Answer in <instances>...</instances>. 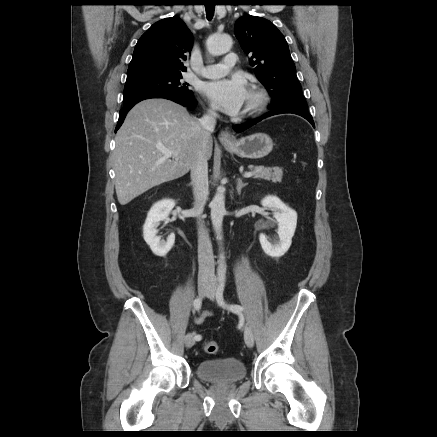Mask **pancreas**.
Wrapping results in <instances>:
<instances>
[{"mask_svg":"<svg viewBox=\"0 0 437 437\" xmlns=\"http://www.w3.org/2000/svg\"><path fill=\"white\" fill-rule=\"evenodd\" d=\"M250 170H253V178L255 179H264L267 181H272L274 183L281 182L283 171L282 168L273 167V168H265L263 166H249Z\"/></svg>","mask_w":437,"mask_h":437,"instance_id":"pancreas-1","label":"pancreas"}]
</instances>
